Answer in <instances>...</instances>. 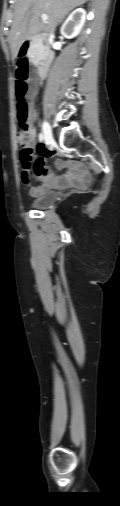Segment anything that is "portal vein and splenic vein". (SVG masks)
<instances>
[{
	"mask_svg": "<svg viewBox=\"0 0 120 506\" xmlns=\"http://www.w3.org/2000/svg\"><path fill=\"white\" fill-rule=\"evenodd\" d=\"M41 19H42L43 21H47V20H48V16H47V15H45V14H43V15H41Z\"/></svg>",
	"mask_w": 120,
	"mask_h": 506,
	"instance_id": "portal-vein-and-splenic-vein-1",
	"label": "portal vein and splenic vein"
}]
</instances>
